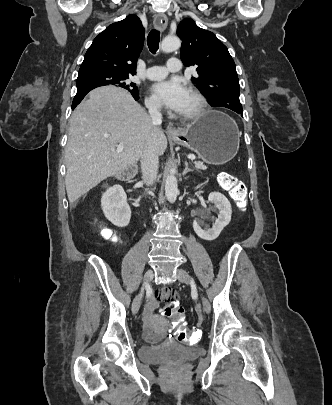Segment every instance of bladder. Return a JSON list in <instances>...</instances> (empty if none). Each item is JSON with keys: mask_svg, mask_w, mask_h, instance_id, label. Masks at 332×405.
<instances>
[{"mask_svg": "<svg viewBox=\"0 0 332 405\" xmlns=\"http://www.w3.org/2000/svg\"><path fill=\"white\" fill-rule=\"evenodd\" d=\"M157 334L144 335L146 345L138 351L143 362L165 363L171 361H188L199 357L202 350L198 346H184L157 340Z\"/></svg>", "mask_w": 332, "mask_h": 405, "instance_id": "1", "label": "bladder"}]
</instances>
